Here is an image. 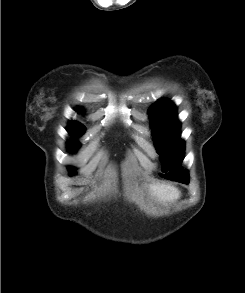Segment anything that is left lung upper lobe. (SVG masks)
Here are the masks:
<instances>
[{"label": "left lung upper lobe", "instance_id": "5c2ea615", "mask_svg": "<svg viewBox=\"0 0 245 293\" xmlns=\"http://www.w3.org/2000/svg\"><path fill=\"white\" fill-rule=\"evenodd\" d=\"M154 133V142L163 163L162 176L180 182L188 176L181 163L184 155L185 144L180 139V126L177 120L176 107L166 99L154 103L149 109Z\"/></svg>", "mask_w": 245, "mask_h": 293}]
</instances>
